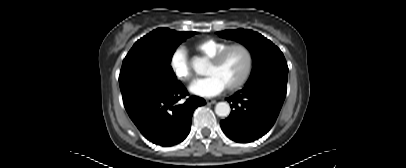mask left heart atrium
<instances>
[{
	"instance_id": "1",
	"label": "left heart atrium",
	"mask_w": 406,
	"mask_h": 168,
	"mask_svg": "<svg viewBox=\"0 0 406 168\" xmlns=\"http://www.w3.org/2000/svg\"><path fill=\"white\" fill-rule=\"evenodd\" d=\"M189 90L192 94L200 97H213L225 90L223 83L214 75L194 80Z\"/></svg>"
}]
</instances>
